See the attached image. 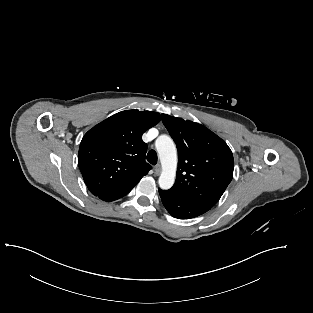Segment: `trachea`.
Here are the masks:
<instances>
[{
    "label": "trachea",
    "instance_id": "trachea-1",
    "mask_svg": "<svg viewBox=\"0 0 313 313\" xmlns=\"http://www.w3.org/2000/svg\"><path fill=\"white\" fill-rule=\"evenodd\" d=\"M147 161L152 165H156L158 161L157 153L154 150H150L147 154Z\"/></svg>",
    "mask_w": 313,
    "mask_h": 313
}]
</instances>
